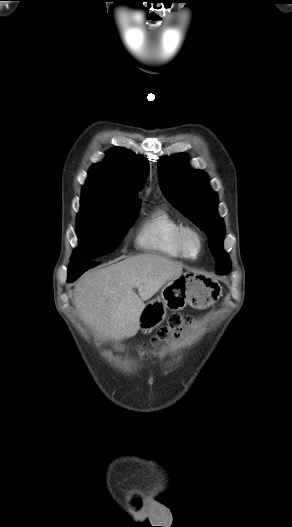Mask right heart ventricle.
Returning <instances> with one entry per match:
<instances>
[{
  "label": "right heart ventricle",
  "instance_id": "right-heart-ventricle-1",
  "mask_svg": "<svg viewBox=\"0 0 292 527\" xmlns=\"http://www.w3.org/2000/svg\"><path fill=\"white\" fill-rule=\"evenodd\" d=\"M184 224L165 208L150 210L141 221L135 243L147 252L169 258H183L178 245L177 233Z\"/></svg>",
  "mask_w": 292,
  "mask_h": 527
}]
</instances>
